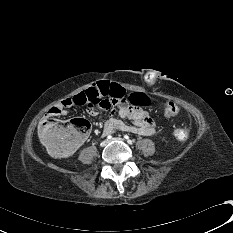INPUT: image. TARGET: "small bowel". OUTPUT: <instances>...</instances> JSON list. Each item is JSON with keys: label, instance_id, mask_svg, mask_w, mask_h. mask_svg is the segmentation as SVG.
<instances>
[{"label": "small bowel", "instance_id": "obj_1", "mask_svg": "<svg viewBox=\"0 0 233 233\" xmlns=\"http://www.w3.org/2000/svg\"><path fill=\"white\" fill-rule=\"evenodd\" d=\"M95 85V84H94ZM94 87V86H93ZM113 94L107 95L98 101L96 110L100 113H108L109 118L104 124V132L124 131L142 136H153L156 128L149 113L144 108H135L128 104L127 99L114 101ZM75 106L71 98L64 99L58 106L52 107L46 114L44 121L54 116H64L68 109ZM117 112L118 118L113 115ZM131 120L132 124L124 120ZM85 140V139H84Z\"/></svg>", "mask_w": 233, "mask_h": 233}]
</instances>
